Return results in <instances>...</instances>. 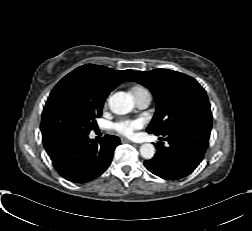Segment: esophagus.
<instances>
[{"mask_svg":"<svg viewBox=\"0 0 252 231\" xmlns=\"http://www.w3.org/2000/svg\"><path fill=\"white\" fill-rule=\"evenodd\" d=\"M121 141H122L123 143H131V144L134 143L133 141H131V140H129V139H126V138H122Z\"/></svg>","mask_w":252,"mask_h":231,"instance_id":"1","label":"esophagus"}]
</instances>
